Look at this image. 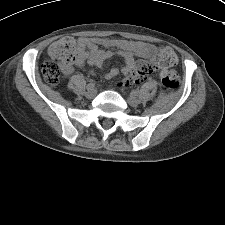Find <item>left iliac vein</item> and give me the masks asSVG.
Returning <instances> with one entry per match:
<instances>
[{"mask_svg": "<svg viewBox=\"0 0 225 225\" xmlns=\"http://www.w3.org/2000/svg\"><path fill=\"white\" fill-rule=\"evenodd\" d=\"M128 104L130 105V106H133V107H135V106H137L139 103H140V101H139V99L138 98H136L135 96H133V95H130L129 97H128Z\"/></svg>", "mask_w": 225, "mask_h": 225, "instance_id": "obj_1", "label": "left iliac vein"}]
</instances>
